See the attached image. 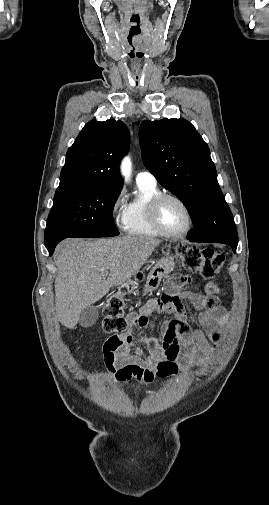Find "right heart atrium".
<instances>
[{"mask_svg":"<svg viewBox=\"0 0 269 505\" xmlns=\"http://www.w3.org/2000/svg\"><path fill=\"white\" fill-rule=\"evenodd\" d=\"M126 203L123 191H119L112 200L110 213L114 225L117 228H124L126 220Z\"/></svg>","mask_w":269,"mask_h":505,"instance_id":"right-heart-atrium-1","label":"right heart atrium"}]
</instances>
